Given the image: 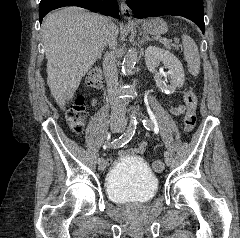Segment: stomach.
I'll return each mask as SVG.
<instances>
[{
  "label": "stomach",
  "instance_id": "0dacf381",
  "mask_svg": "<svg viewBox=\"0 0 240 238\" xmlns=\"http://www.w3.org/2000/svg\"><path fill=\"white\" fill-rule=\"evenodd\" d=\"M141 24L144 32L151 35H161L168 31L167 24L162 18L146 19Z\"/></svg>",
  "mask_w": 240,
  "mask_h": 238
}]
</instances>
